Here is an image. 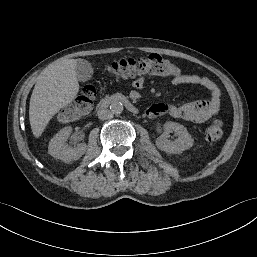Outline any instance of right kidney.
Segmentation results:
<instances>
[{"label":"right kidney","mask_w":257,"mask_h":257,"mask_svg":"<svg viewBox=\"0 0 257 257\" xmlns=\"http://www.w3.org/2000/svg\"><path fill=\"white\" fill-rule=\"evenodd\" d=\"M71 126L61 129L50 141L48 153L56 159H60L65 163L78 160L87 149L86 144H78L76 147H70L66 144L72 133Z\"/></svg>","instance_id":"1"}]
</instances>
